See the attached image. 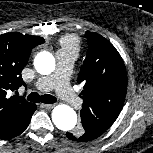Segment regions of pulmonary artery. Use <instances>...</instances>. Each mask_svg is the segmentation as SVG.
I'll list each match as a JSON object with an SVG mask.
<instances>
[{
	"instance_id": "e3ab8cb5",
	"label": "pulmonary artery",
	"mask_w": 153,
	"mask_h": 153,
	"mask_svg": "<svg viewBox=\"0 0 153 153\" xmlns=\"http://www.w3.org/2000/svg\"><path fill=\"white\" fill-rule=\"evenodd\" d=\"M76 53L60 50L56 53L57 67L53 74L41 77L35 86L42 91L55 89L58 96L73 107L82 104V100L74 93L69 85V76Z\"/></svg>"
}]
</instances>
